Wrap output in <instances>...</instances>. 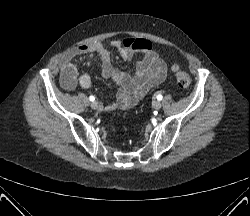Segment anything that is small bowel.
Masks as SVG:
<instances>
[{"mask_svg": "<svg viewBox=\"0 0 250 216\" xmlns=\"http://www.w3.org/2000/svg\"><path fill=\"white\" fill-rule=\"evenodd\" d=\"M111 48L117 50L125 60H130L136 53L143 54L133 74L123 73L113 67ZM86 54L98 56L103 77L117 86L116 101L104 106L108 111L133 107L152 87L161 83L166 77L165 62L155 51L152 43L146 39L127 38L113 40L107 45L101 43L82 45L66 54L60 63V81L65 90L72 91L77 85L84 89L91 86L88 74H78V60Z\"/></svg>", "mask_w": 250, "mask_h": 216, "instance_id": "c3829d8e", "label": "small bowel"}]
</instances>
